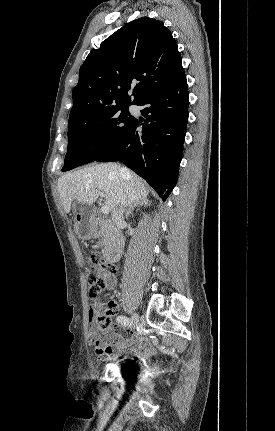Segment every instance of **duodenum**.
<instances>
[{
	"label": "duodenum",
	"mask_w": 275,
	"mask_h": 431,
	"mask_svg": "<svg viewBox=\"0 0 275 431\" xmlns=\"http://www.w3.org/2000/svg\"><path fill=\"white\" fill-rule=\"evenodd\" d=\"M95 225L110 234V240L104 251L106 259L113 263L119 261L124 248V237L122 233L107 219H96Z\"/></svg>",
	"instance_id": "410a0bca"
}]
</instances>
